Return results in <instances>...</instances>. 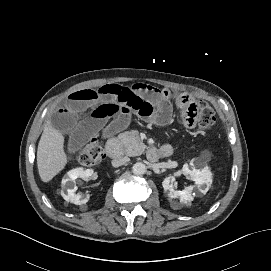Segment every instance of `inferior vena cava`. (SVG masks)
<instances>
[{
	"mask_svg": "<svg viewBox=\"0 0 271 271\" xmlns=\"http://www.w3.org/2000/svg\"><path fill=\"white\" fill-rule=\"evenodd\" d=\"M129 158L128 157H120L117 159L112 160V166L114 167H119L122 166L124 164H126L127 162H129Z\"/></svg>",
	"mask_w": 271,
	"mask_h": 271,
	"instance_id": "1",
	"label": "inferior vena cava"
}]
</instances>
